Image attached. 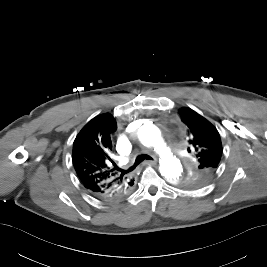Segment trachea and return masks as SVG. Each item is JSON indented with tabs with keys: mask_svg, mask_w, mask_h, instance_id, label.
Instances as JSON below:
<instances>
[{
	"mask_svg": "<svg viewBox=\"0 0 267 267\" xmlns=\"http://www.w3.org/2000/svg\"><path fill=\"white\" fill-rule=\"evenodd\" d=\"M144 160H153V158L147 154L138 155L135 159V163L128 170H120L123 174L133 171Z\"/></svg>",
	"mask_w": 267,
	"mask_h": 267,
	"instance_id": "obj_1",
	"label": "trachea"
}]
</instances>
